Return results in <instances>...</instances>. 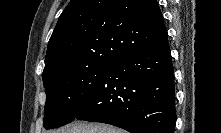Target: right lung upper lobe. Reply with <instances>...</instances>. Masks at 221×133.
Here are the masks:
<instances>
[{
    "instance_id": "obj_1",
    "label": "right lung upper lobe",
    "mask_w": 221,
    "mask_h": 133,
    "mask_svg": "<svg viewBox=\"0 0 221 133\" xmlns=\"http://www.w3.org/2000/svg\"><path fill=\"white\" fill-rule=\"evenodd\" d=\"M167 39L156 0H71L49 40L43 76L66 66L111 64Z\"/></svg>"
}]
</instances>
